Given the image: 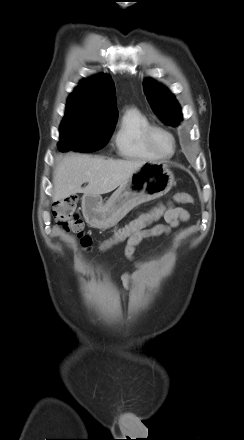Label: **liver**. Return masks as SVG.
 Masks as SVG:
<instances>
[{
    "mask_svg": "<svg viewBox=\"0 0 244 440\" xmlns=\"http://www.w3.org/2000/svg\"><path fill=\"white\" fill-rule=\"evenodd\" d=\"M143 160H112L83 154H69L56 165L53 174L54 200L83 193L100 196L120 187L142 167ZM83 183H88L82 188Z\"/></svg>",
    "mask_w": 244,
    "mask_h": 440,
    "instance_id": "1",
    "label": "liver"
}]
</instances>
